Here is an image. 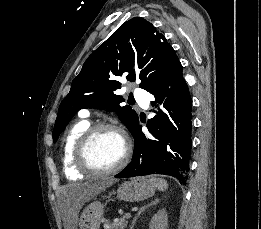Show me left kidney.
Returning <instances> with one entry per match:
<instances>
[{
  "mask_svg": "<svg viewBox=\"0 0 261 229\" xmlns=\"http://www.w3.org/2000/svg\"><path fill=\"white\" fill-rule=\"evenodd\" d=\"M168 217L166 211H158L151 219L149 229H167Z\"/></svg>",
  "mask_w": 261,
  "mask_h": 229,
  "instance_id": "obj_1",
  "label": "left kidney"
}]
</instances>
